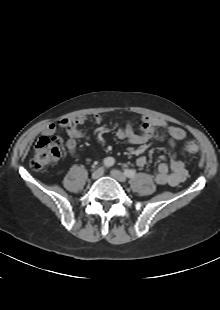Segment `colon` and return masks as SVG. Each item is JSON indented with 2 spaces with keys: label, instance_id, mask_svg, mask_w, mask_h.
<instances>
[{
  "label": "colon",
  "instance_id": "5ec220e1",
  "mask_svg": "<svg viewBox=\"0 0 220 310\" xmlns=\"http://www.w3.org/2000/svg\"><path fill=\"white\" fill-rule=\"evenodd\" d=\"M61 145L62 140L59 137L49 135L40 137L35 144L30 166L40 170L54 164L60 157ZM184 150L189 155H195L199 152V145L195 141L189 140L185 142Z\"/></svg>",
  "mask_w": 220,
  "mask_h": 310
}]
</instances>
